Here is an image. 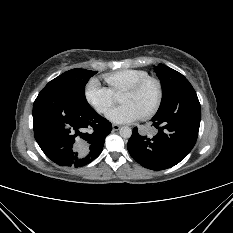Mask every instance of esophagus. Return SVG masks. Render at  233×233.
Wrapping results in <instances>:
<instances>
[{
  "instance_id": "1",
  "label": "esophagus",
  "mask_w": 233,
  "mask_h": 233,
  "mask_svg": "<svg viewBox=\"0 0 233 233\" xmlns=\"http://www.w3.org/2000/svg\"><path fill=\"white\" fill-rule=\"evenodd\" d=\"M112 128H113L114 131H117V130H119L121 128V126L117 125V124H113Z\"/></svg>"
}]
</instances>
